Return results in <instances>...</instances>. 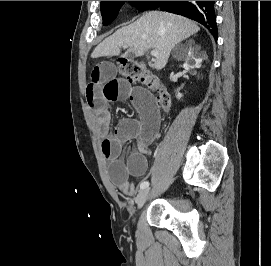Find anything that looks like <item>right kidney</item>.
<instances>
[{"label":"right kidney","mask_w":271,"mask_h":266,"mask_svg":"<svg viewBox=\"0 0 271 266\" xmlns=\"http://www.w3.org/2000/svg\"><path fill=\"white\" fill-rule=\"evenodd\" d=\"M185 60H186V67L188 68H200L201 67V63H202V59L197 57L194 52L193 49L191 47L187 48L185 51ZM178 98H181L182 95L180 93H178L177 95Z\"/></svg>","instance_id":"right-kidney-1"}]
</instances>
